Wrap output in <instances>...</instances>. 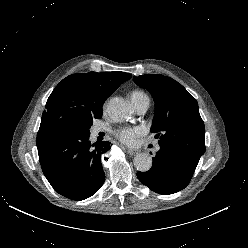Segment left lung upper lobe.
I'll return each mask as SVG.
<instances>
[{
	"mask_svg": "<svg viewBox=\"0 0 248 248\" xmlns=\"http://www.w3.org/2000/svg\"><path fill=\"white\" fill-rule=\"evenodd\" d=\"M134 82L148 90L155 102L151 132L160 148L174 150L193 164L205 152V127L196 99L174 79L157 74L134 76Z\"/></svg>",
	"mask_w": 248,
	"mask_h": 248,
	"instance_id": "obj_1",
	"label": "left lung upper lobe"
}]
</instances>
